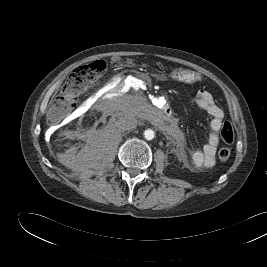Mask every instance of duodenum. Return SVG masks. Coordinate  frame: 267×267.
<instances>
[{"label": "duodenum", "instance_id": "410a0bca", "mask_svg": "<svg viewBox=\"0 0 267 267\" xmlns=\"http://www.w3.org/2000/svg\"><path fill=\"white\" fill-rule=\"evenodd\" d=\"M125 90H126V83L124 81H117L112 86V91L115 94L123 93ZM159 113L166 114L169 118L171 117V111H170V108L167 105H164L161 108H159Z\"/></svg>", "mask_w": 267, "mask_h": 267}]
</instances>
